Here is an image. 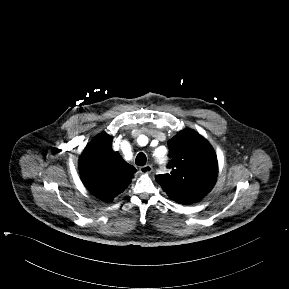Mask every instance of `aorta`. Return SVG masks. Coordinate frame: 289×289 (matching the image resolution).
<instances>
[{
    "label": "aorta",
    "instance_id": "1",
    "mask_svg": "<svg viewBox=\"0 0 289 289\" xmlns=\"http://www.w3.org/2000/svg\"><path fill=\"white\" fill-rule=\"evenodd\" d=\"M156 159L158 163H163L165 160L164 156H158V155L156 156Z\"/></svg>",
    "mask_w": 289,
    "mask_h": 289
}]
</instances>
